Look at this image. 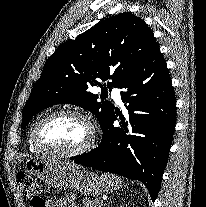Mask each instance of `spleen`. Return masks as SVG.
Segmentation results:
<instances>
[{
  "mask_svg": "<svg viewBox=\"0 0 206 207\" xmlns=\"http://www.w3.org/2000/svg\"><path fill=\"white\" fill-rule=\"evenodd\" d=\"M102 176H104L106 178H109L111 180L114 189L119 188L121 186V184H122L121 179L119 177H117V176L109 175V174L102 175Z\"/></svg>",
  "mask_w": 206,
  "mask_h": 207,
  "instance_id": "spleen-1",
  "label": "spleen"
}]
</instances>
